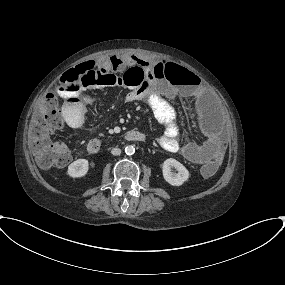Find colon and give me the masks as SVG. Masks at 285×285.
Segmentation results:
<instances>
[{"mask_svg": "<svg viewBox=\"0 0 285 285\" xmlns=\"http://www.w3.org/2000/svg\"><path fill=\"white\" fill-rule=\"evenodd\" d=\"M121 58L116 56L106 57L101 63L94 60L84 61L74 68L67 70L60 78L66 88L88 86L97 79L126 87L133 91H143L149 81L141 62L120 70ZM156 72L159 78L170 79L178 74L169 62H155ZM88 119V118H87ZM87 119H82L80 125H84ZM65 125L59 96L56 93L45 96L43 107L34 114L29 124V143L33 158L41 169H51L67 165L71 160L70 152L60 143L54 142L51 135ZM223 161L222 155H217L211 161L203 165V176L213 175Z\"/></svg>", "mask_w": 285, "mask_h": 285, "instance_id": "colon-1", "label": "colon"}]
</instances>
